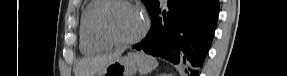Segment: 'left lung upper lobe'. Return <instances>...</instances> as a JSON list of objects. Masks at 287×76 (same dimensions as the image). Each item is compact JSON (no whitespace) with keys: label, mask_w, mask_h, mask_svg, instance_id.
<instances>
[{"label":"left lung upper lobe","mask_w":287,"mask_h":76,"mask_svg":"<svg viewBox=\"0 0 287 76\" xmlns=\"http://www.w3.org/2000/svg\"><path fill=\"white\" fill-rule=\"evenodd\" d=\"M144 4L146 5L149 12L153 9L155 5H157L159 2L158 0H142Z\"/></svg>","instance_id":"5c2ea615"}]
</instances>
